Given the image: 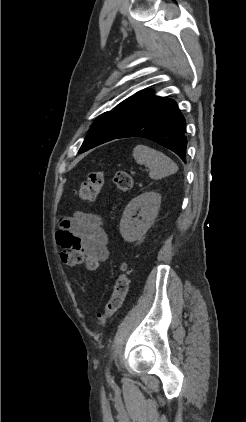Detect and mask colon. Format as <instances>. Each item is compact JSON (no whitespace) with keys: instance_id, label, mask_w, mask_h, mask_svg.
Listing matches in <instances>:
<instances>
[{"instance_id":"obj_1","label":"colon","mask_w":246,"mask_h":422,"mask_svg":"<svg viewBox=\"0 0 246 422\" xmlns=\"http://www.w3.org/2000/svg\"><path fill=\"white\" fill-rule=\"evenodd\" d=\"M104 184V174L101 171H91L85 180L79 185L76 193L84 200H93L98 195ZM114 184L121 192H128L132 188L133 180L129 173L118 171L114 176ZM62 261L70 266L83 264L89 271L98 268V261L86 256L79 250H67L61 253ZM124 263L119 265L118 275L112 285V293L102 313L98 314V325L104 326L107 321L122 306L128 290V279L125 273Z\"/></svg>"}]
</instances>
